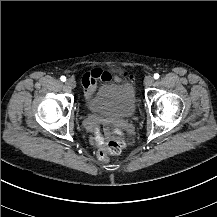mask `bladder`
<instances>
[{"label":"bladder","mask_w":217,"mask_h":217,"mask_svg":"<svg viewBox=\"0 0 217 217\" xmlns=\"http://www.w3.org/2000/svg\"><path fill=\"white\" fill-rule=\"evenodd\" d=\"M88 109L119 119L133 116L138 110V99L129 84L101 88L99 94L90 98Z\"/></svg>","instance_id":"31cf9c89"}]
</instances>
